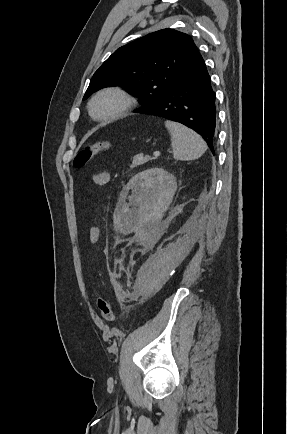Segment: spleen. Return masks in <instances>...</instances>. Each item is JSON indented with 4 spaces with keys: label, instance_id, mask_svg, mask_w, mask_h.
Listing matches in <instances>:
<instances>
[{
    "label": "spleen",
    "instance_id": "spleen-1",
    "mask_svg": "<svg viewBox=\"0 0 287 434\" xmlns=\"http://www.w3.org/2000/svg\"><path fill=\"white\" fill-rule=\"evenodd\" d=\"M165 126L171 135L174 159L181 161L198 159L207 150L205 141L191 129L169 120L165 121Z\"/></svg>",
    "mask_w": 287,
    "mask_h": 434
}]
</instances>
